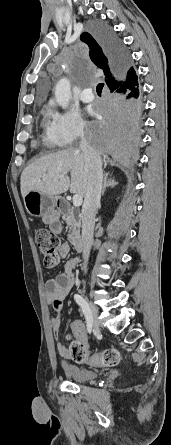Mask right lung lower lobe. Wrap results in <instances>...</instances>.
<instances>
[{"label": "right lung lower lobe", "instance_id": "right-lung-lower-lobe-1", "mask_svg": "<svg viewBox=\"0 0 171 445\" xmlns=\"http://www.w3.org/2000/svg\"><path fill=\"white\" fill-rule=\"evenodd\" d=\"M108 56L120 71L121 79L99 104L100 121L88 126L94 150L117 163L129 164L137 158L142 102L138 77H130V56L120 39L109 29L98 31Z\"/></svg>", "mask_w": 171, "mask_h": 445}]
</instances>
